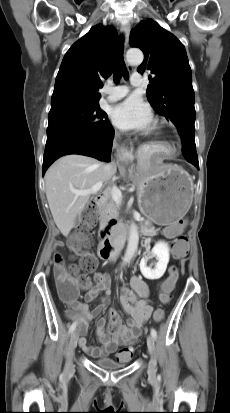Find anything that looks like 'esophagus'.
I'll return each instance as SVG.
<instances>
[{
	"instance_id": "obj_1",
	"label": "esophagus",
	"mask_w": 230,
	"mask_h": 413,
	"mask_svg": "<svg viewBox=\"0 0 230 413\" xmlns=\"http://www.w3.org/2000/svg\"><path fill=\"white\" fill-rule=\"evenodd\" d=\"M130 30H131V27H130V24H128V23L123 24L121 26V31H122V33L125 37V46H127V44H128V38H129ZM129 69H131V66H129ZM120 150L123 151V148H120Z\"/></svg>"
}]
</instances>
